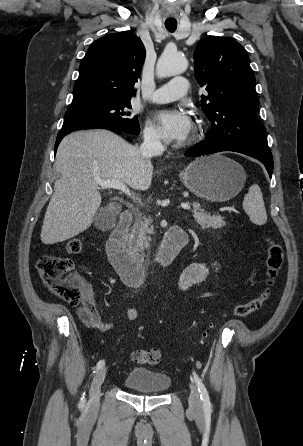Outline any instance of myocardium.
<instances>
[{
  "instance_id": "f54148a6",
  "label": "myocardium",
  "mask_w": 303,
  "mask_h": 446,
  "mask_svg": "<svg viewBox=\"0 0 303 446\" xmlns=\"http://www.w3.org/2000/svg\"><path fill=\"white\" fill-rule=\"evenodd\" d=\"M201 129H202L201 123L200 122H196L195 125H194V128H193L192 134H191L190 138L187 141L188 144H192V143L196 142L199 139L200 133H201Z\"/></svg>"
}]
</instances>
